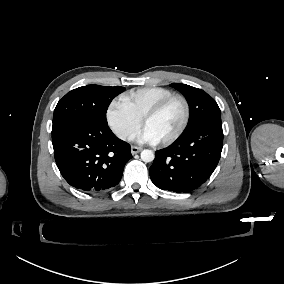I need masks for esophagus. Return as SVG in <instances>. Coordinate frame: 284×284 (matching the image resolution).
Instances as JSON below:
<instances>
[{
  "label": "esophagus",
  "instance_id": "obj_1",
  "mask_svg": "<svg viewBox=\"0 0 284 284\" xmlns=\"http://www.w3.org/2000/svg\"><path fill=\"white\" fill-rule=\"evenodd\" d=\"M140 151H142V148H141V147H137V146H132V147H131V153H132V155H135V154L139 153Z\"/></svg>",
  "mask_w": 284,
  "mask_h": 284
}]
</instances>
